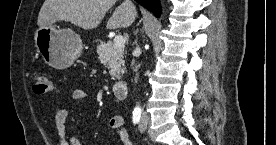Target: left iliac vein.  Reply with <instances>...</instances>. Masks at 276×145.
<instances>
[{
  "mask_svg": "<svg viewBox=\"0 0 276 145\" xmlns=\"http://www.w3.org/2000/svg\"><path fill=\"white\" fill-rule=\"evenodd\" d=\"M149 117L146 113L142 115L141 121L139 123V130L141 132H144L147 129V124H148Z\"/></svg>",
  "mask_w": 276,
  "mask_h": 145,
  "instance_id": "left-iliac-vein-1",
  "label": "left iliac vein"
}]
</instances>
